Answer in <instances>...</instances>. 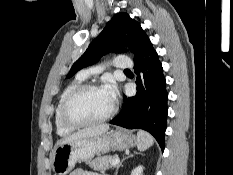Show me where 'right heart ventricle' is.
Wrapping results in <instances>:
<instances>
[{"label":"right heart ventricle","mask_w":233,"mask_h":175,"mask_svg":"<svg viewBox=\"0 0 233 175\" xmlns=\"http://www.w3.org/2000/svg\"><path fill=\"white\" fill-rule=\"evenodd\" d=\"M84 79H81L77 77L75 80H73L71 83H69L61 92L59 99L57 101L56 107H55V112H54V121H55V126L57 133L59 135H67L73 131V128H70L66 126L60 118V107L61 104L64 100V98L76 87L81 85L83 83Z\"/></svg>","instance_id":"right-heart-ventricle-1"}]
</instances>
